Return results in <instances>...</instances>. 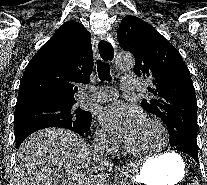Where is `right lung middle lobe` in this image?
Returning a JSON list of instances; mask_svg holds the SVG:
<instances>
[{
    "label": "right lung middle lobe",
    "mask_w": 207,
    "mask_h": 185,
    "mask_svg": "<svg viewBox=\"0 0 207 185\" xmlns=\"http://www.w3.org/2000/svg\"><path fill=\"white\" fill-rule=\"evenodd\" d=\"M92 114L73 106L38 105L15 111V140L47 127L86 130Z\"/></svg>",
    "instance_id": "obj_1"
}]
</instances>
